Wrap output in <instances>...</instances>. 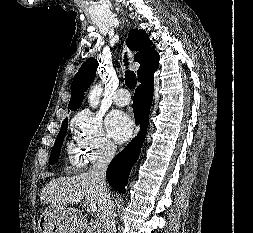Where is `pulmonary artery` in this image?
Segmentation results:
<instances>
[{
	"label": "pulmonary artery",
	"instance_id": "e3ab8cb5",
	"mask_svg": "<svg viewBox=\"0 0 253 233\" xmlns=\"http://www.w3.org/2000/svg\"><path fill=\"white\" fill-rule=\"evenodd\" d=\"M131 97L125 88L118 89L113 95V102L117 106H126L130 103Z\"/></svg>",
	"mask_w": 253,
	"mask_h": 233
}]
</instances>
